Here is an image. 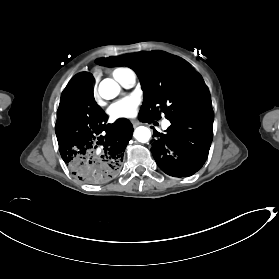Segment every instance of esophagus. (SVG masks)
Masks as SVG:
<instances>
[{
    "instance_id": "1",
    "label": "esophagus",
    "mask_w": 279,
    "mask_h": 279,
    "mask_svg": "<svg viewBox=\"0 0 279 279\" xmlns=\"http://www.w3.org/2000/svg\"><path fill=\"white\" fill-rule=\"evenodd\" d=\"M131 123H132L134 126L139 125V122H137L136 120H132Z\"/></svg>"
}]
</instances>
